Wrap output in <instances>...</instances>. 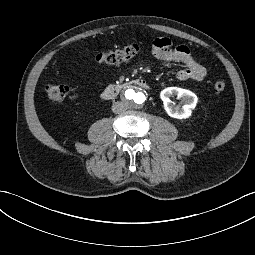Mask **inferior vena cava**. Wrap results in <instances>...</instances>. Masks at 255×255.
I'll return each mask as SVG.
<instances>
[{
  "instance_id": "obj_1",
  "label": "inferior vena cava",
  "mask_w": 255,
  "mask_h": 255,
  "mask_svg": "<svg viewBox=\"0 0 255 255\" xmlns=\"http://www.w3.org/2000/svg\"><path fill=\"white\" fill-rule=\"evenodd\" d=\"M128 105L125 103V102H122V101H117V102H114L113 105H112V111L114 113H122L123 111H125L127 109Z\"/></svg>"
}]
</instances>
